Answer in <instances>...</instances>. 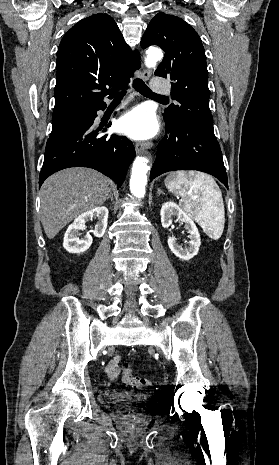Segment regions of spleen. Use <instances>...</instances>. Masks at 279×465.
<instances>
[{"mask_svg":"<svg viewBox=\"0 0 279 465\" xmlns=\"http://www.w3.org/2000/svg\"><path fill=\"white\" fill-rule=\"evenodd\" d=\"M168 190L181 196L180 206L214 240L224 230L225 210L221 191L215 180L200 172L177 171L165 179Z\"/></svg>","mask_w":279,"mask_h":465,"instance_id":"obj_1","label":"spleen"}]
</instances>
